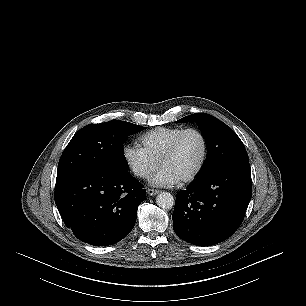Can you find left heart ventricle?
<instances>
[{
	"instance_id": "obj_1",
	"label": "left heart ventricle",
	"mask_w": 306,
	"mask_h": 306,
	"mask_svg": "<svg viewBox=\"0 0 306 306\" xmlns=\"http://www.w3.org/2000/svg\"><path fill=\"white\" fill-rule=\"evenodd\" d=\"M202 152L201 138L198 134L190 132L183 137L176 153L162 165V168L168 169L182 180L198 166Z\"/></svg>"
}]
</instances>
